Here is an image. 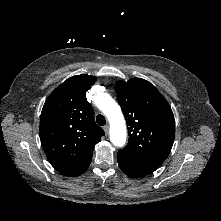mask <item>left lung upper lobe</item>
Wrapping results in <instances>:
<instances>
[{
  "instance_id": "5c2ea615",
  "label": "left lung upper lobe",
  "mask_w": 221,
  "mask_h": 221,
  "mask_svg": "<svg viewBox=\"0 0 221 221\" xmlns=\"http://www.w3.org/2000/svg\"><path fill=\"white\" fill-rule=\"evenodd\" d=\"M115 90L129 133L128 144L123 150L160 167L169 155L175 137L171 107L160 92L142 78L120 80Z\"/></svg>"
}]
</instances>
